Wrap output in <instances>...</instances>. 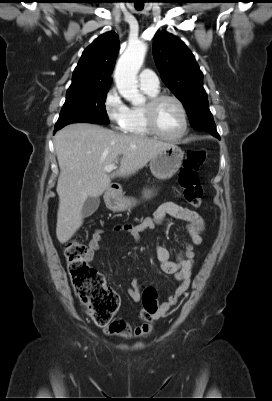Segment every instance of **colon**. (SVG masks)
<instances>
[{"label": "colon", "instance_id": "1", "mask_svg": "<svg viewBox=\"0 0 272 401\" xmlns=\"http://www.w3.org/2000/svg\"><path fill=\"white\" fill-rule=\"evenodd\" d=\"M204 150L195 149L187 153L179 173V185L186 202L198 208L201 205L203 189L199 181L198 170L205 162ZM87 249L83 242L72 239L65 244L64 255L75 294L86 305L88 314L99 326L110 328L112 318L119 307V296L106 286L104 277L86 260ZM144 311L154 313L158 308L157 293L147 287L142 293Z\"/></svg>", "mask_w": 272, "mask_h": 401}]
</instances>
